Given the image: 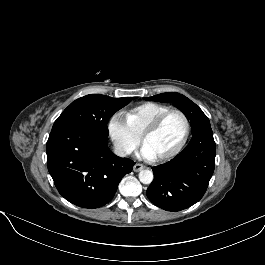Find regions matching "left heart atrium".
<instances>
[{"label": "left heart atrium", "instance_id": "left-heart-atrium-1", "mask_svg": "<svg viewBox=\"0 0 265 265\" xmlns=\"http://www.w3.org/2000/svg\"><path fill=\"white\" fill-rule=\"evenodd\" d=\"M140 153H141L142 156H145V157H148V158L153 157L152 154H151V152L144 145L141 148Z\"/></svg>", "mask_w": 265, "mask_h": 265}]
</instances>
